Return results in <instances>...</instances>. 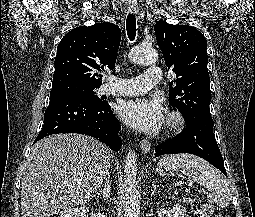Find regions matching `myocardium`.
<instances>
[{
  "mask_svg": "<svg viewBox=\"0 0 255 217\" xmlns=\"http://www.w3.org/2000/svg\"><path fill=\"white\" fill-rule=\"evenodd\" d=\"M184 125L185 118L179 110L172 109L168 112L165 125L166 132L168 133L178 132L182 130Z\"/></svg>",
  "mask_w": 255,
  "mask_h": 217,
  "instance_id": "myocardium-1",
  "label": "myocardium"
}]
</instances>
